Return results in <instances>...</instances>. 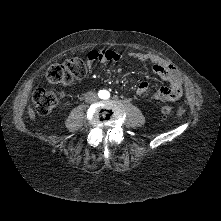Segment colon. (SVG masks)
I'll return each instance as SVG.
<instances>
[{
  "label": "colon",
  "mask_w": 221,
  "mask_h": 221,
  "mask_svg": "<svg viewBox=\"0 0 221 221\" xmlns=\"http://www.w3.org/2000/svg\"><path fill=\"white\" fill-rule=\"evenodd\" d=\"M88 65L80 58H71L64 63L50 66L45 78L50 84H68L83 78L88 72ZM59 95L45 88L36 89L32 95L33 102L40 114L49 113L57 104ZM173 106L165 105L161 108L163 115H169Z\"/></svg>",
  "instance_id": "1"
}]
</instances>
